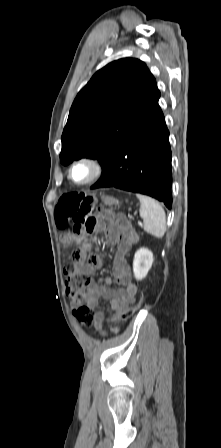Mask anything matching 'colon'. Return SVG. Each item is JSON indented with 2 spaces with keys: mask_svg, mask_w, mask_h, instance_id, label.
I'll use <instances>...</instances> for the list:
<instances>
[{
  "mask_svg": "<svg viewBox=\"0 0 221 448\" xmlns=\"http://www.w3.org/2000/svg\"><path fill=\"white\" fill-rule=\"evenodd\" d=\"M96 199L92 195H85L80 192H72L62 196L56 205V223L59 228L66 227L71 224L73 234L84 237L92 233L97 225V221L93 216ZM119 222H122L119 220ZM64 281L66 292L71 299L74 308V315L83 325H93L94 315L89 307L83 304L84 290L90 282V278L74 263H67L64 266ZM143 295L139 300L130 306L126 314L134 313L141 305ZM111 317V321L114 320Z\"/></svg>",
  "mask_w": 221,
  "mask_h": 448,
  "instance_id": "obj_1",
  "label": "colon"
}]
</instances>
